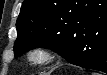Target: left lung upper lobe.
<instances>
[{
  "label": "left lung upper lobe",
  "instance_id": "left-lung-upper-lobe-1",
  "mask_svg": "<svg viewBox=\"0 0 107 75\" xmlns=\"http://www.w3.org/2000/svg\"><path fill=\"white\" fill-rule=\"evenodd\" d=\"M98 6L90 0H24L16 22L15 56L36 47L60 55L77 50L79 25Z\"/></svg>",
  "mask_w": 107,
  "mask_h": 75
}]
</instances>
